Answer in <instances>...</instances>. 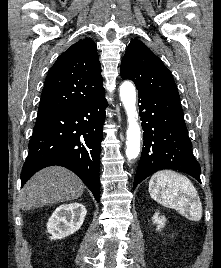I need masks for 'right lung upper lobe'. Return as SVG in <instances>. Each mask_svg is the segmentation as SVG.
<instances>
[{
  "label": "right lung upper lobe",
  "mask_w": 221,
  "mask_h": 268,
  "mask_svg": "<svg viewBox=\"0 0 221 268\" xmlns=\"http://www.w3.org/2000/svg\"><path fill=\"white\" fill-rule=\"evenodd\" d=\"M104 94L96 45L88 38L80 40L65 51L50 69L38 114L85 104Z\"/></svg>",
  "instance_id": "right-lung-upper-lobe-1"
}]
</instances>
